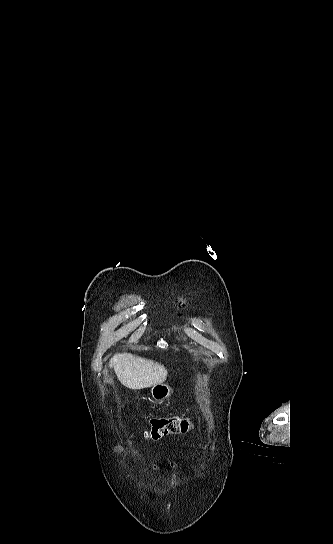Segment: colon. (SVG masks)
Returning a JSON list of instances; mask_svg holds the SVG:
<instances>
[{
	"label": "colon",
	"mask_w": 333,
	"mask_h": 544,
	"mask_svg": "<svg viewBox=\"0 0 333 544\" xmlns=\"http://www.w3.org/2000/svg\"><path fill=\"white\" fill-rule=\"evenodd\" d=\"M144 437L158 440L168 435L185 434L194 428L191 419L185 417L156 418L145 424Z\"/></svg>",
	"instance_id": "obj_1"
}]
</instances>
